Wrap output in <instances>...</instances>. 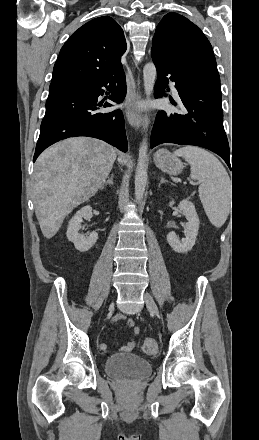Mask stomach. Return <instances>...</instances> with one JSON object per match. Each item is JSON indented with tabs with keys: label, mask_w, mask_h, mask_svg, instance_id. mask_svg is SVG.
I'll return each instance as SVG.
<instances>
[{
	"label": "stomach",
	"mask_w": 259,
	"mask_h": 440,
	"mask_svg": "<svg viewBox=\"0 0 259 440\" xmlns=\"http://www.w3.org/2000/svg\"><path fill=\"white\" fill-rule=\"evenodd\" d=\"M154 163L169 175H178L184 167L182 161L166 149H160L155 153Z\"/></svg>",
	"instance_id": "1"
}]
</instances>
